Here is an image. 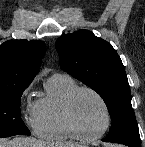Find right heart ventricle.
<instances>
[{
	"label": "right heart ventricle",
	"instance_id": "right-heart-ventricle-1",
	"mask_svg": "<svg viewBox=\"0 0 145 147\" xmlns=\"http://www.w3.org/2000/svg\"><path fill=\"white\" fill-rule=\"evenodd\" d=\"M76 87V81L67 74L50 76L45 95L35 101L32 108V123L37 136L54 141L83 139L71 127L65 113L66 99Z\"/></svg>",
	"mask_w": 145,
	"mask_h": 147
}]
</instances>
